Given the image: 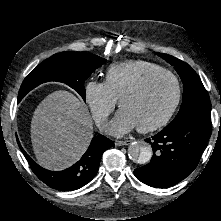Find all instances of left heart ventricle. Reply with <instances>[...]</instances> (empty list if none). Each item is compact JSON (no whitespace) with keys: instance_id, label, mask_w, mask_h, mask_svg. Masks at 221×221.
I'll use <instances>...</instances> for the list:
<instances>
[{"instance_id":"obj_1","label":"left heart ventricle","mask_w":221,"mask_h":221,"mask_svg":"<svg viewBox=\"0 0 221 221\" xmlns=\"http://www.w3.org/2000/svg\"><path fill=\"white\" fill-rule=\"evenodd\" d=\"M175 96V85L166 76L152 80L140 93L125 98L121 110L126 111L137 127L159 121L170 109Z\"/></svg>"}]
</instances>
